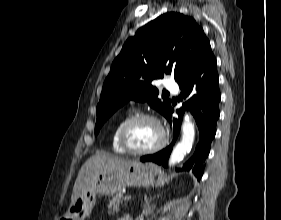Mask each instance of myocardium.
<instances>
[{
  "mask_svg": "<svg viewBox=\"0 0 281 220\" xmlns=\"http://www.w3.org/2000/svg\"><path fill=\"white\" fill-rule=\"evenodd\" d=\"M143 120H149V121L155 122L161 130L162 137H161V141L157 145H155L151 148L137 149L129 141V131L135 124H137L138 122L143 121ZM118 140H119L120 146L127 153L132 154V155H147V154L156 153L159 150H161L162 148H164L165 145L167 144L168 137H167V134H166L161 122L159 121V119L157 117H155L151 114L139 113V114H135V115L131 116L123 123V125L121 126V128L119 130Z\"/></svg>",
  "mask_w": 281,
  "mask_h": 220,
  "instance_id": "1",
  "label": "myocardium"
}]
</instances>
